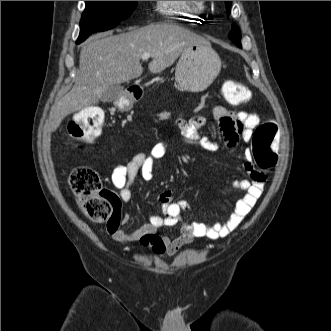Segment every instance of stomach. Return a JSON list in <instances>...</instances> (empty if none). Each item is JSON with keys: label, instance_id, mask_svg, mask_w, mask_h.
Instances as JSON below:
<instances>
[{"label": "stomach", "instance_id": "obj_1", "mask_svg": "<svg viewBox=\"0 0 331 331\" xmlns=\"http://www.w3.org/2000/svg\"><path fill=\"white\" fill-rule=\"evenodd\" d=\"M221 70V60L211 44L196 43L189 46L178 60L175 80L178 88L188 92L205 90ZM120 110H128L132 100L122 97L118 104Z\"/></svg>", "mask_w": 331, "mask_h": 331}]
</instances>
